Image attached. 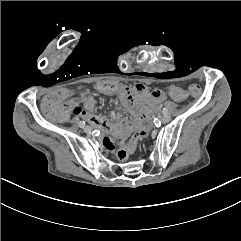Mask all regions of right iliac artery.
Listing matches in <instances>:
<instances>
[{"mask_svg": "<svg viewBox=\"0 0 241 241\" xmlns=\"http://www.w3.org/2000/svg\"><path fill=\"white\" fill-rule=\"evenodd\" d=\"M79 126H80L81 128H83V127L85 126V122H84V121H80V122H79Z\"/></svg>", "mask_w": 241, "mask_h": 241, "instance_id": "obj_1", "label": "right iliac artery"}]
</instances>
